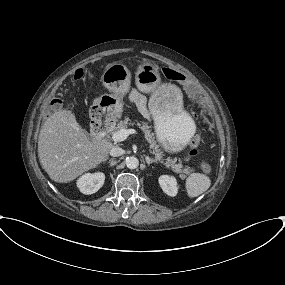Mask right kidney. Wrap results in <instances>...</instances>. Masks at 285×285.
<instances>
[{"label": "right kidney", "instance_id": "right-kidney-1", "mask_svg": "<svg viewBox=\"0 0 285 285\" xmlns=\"http://www.w3.org/2000/svg\"><path fill=\"white\" fill-rule=\"evenodd\" d=\"M105 175L101 172L87 173L77 181L79 190L86 195L96 193L104 184Z\"/></svg>", "mask_w": 285, "mask_h": 285}]
</instances>
